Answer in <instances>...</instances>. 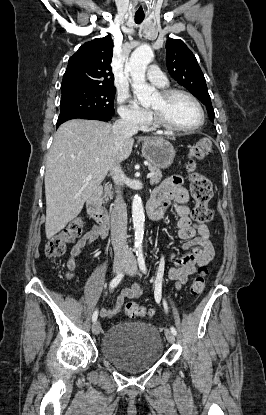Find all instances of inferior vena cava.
Returning <instances> with one entry per match:
<instances>
[{"label": "inferior vena cava", "instance_id": "obj_1", "mask_svg": "<svg viewBox=\"0 0 266 415\" xmlns=\"http://www.w3.org/2000/svg\"><path fill=\"white\" fill-rule=\"evenodd\" d=\"M114 141L121 147L125 139L137 133L138 125L130 116H124L115 121L113 127ZM111 176L116 186V199L111 210V240L115 257L131 258L133 254L128 248L127 238V207L122 197L121 187L125 178L119 163L111 169Z\"/></svg>", "mask_w": 266, "mask_h": 415}]
</instances>
